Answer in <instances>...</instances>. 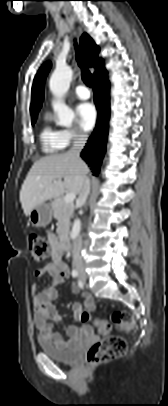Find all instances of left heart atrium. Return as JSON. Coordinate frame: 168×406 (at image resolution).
Masks as SVG:
<instances>
[{
	"label": "left heart atrium",
	"mask_w": 168,
	"mask_h": 406,
	"mask_svg": "<svg viewBox=\"0 0 168 406\" xmlns=\"http://www.w3.org/2000/svg\"><path fill=\"white\" fill-rule=\"evenodd\" d=\"M77 114L79 118L80 126L86 130L90 131L97 121V111L95 106L91 103H81L77 107Z\"/></svg>",
	"instance_id": "left-heart-atrium-1"
}]
</instances>
